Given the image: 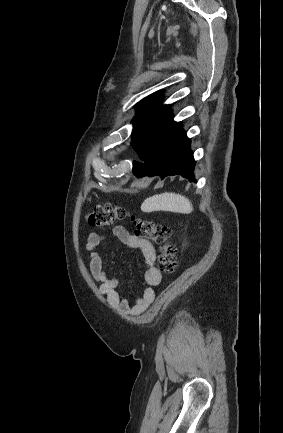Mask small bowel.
<instances>
[{"mask_svg":"<svg viewBox=\"0 0 283 433\" xmlns=\"http://www.w3.org/2000/svg\"><path fill=\"white\" fill-rule=\"evenodd\" d=\"M113 235L127 248L139 249L143 255L146 270L145 282L149 286L141 296L130 305L129 301L121 296L117 287L119 280L109 275L102 256L97 247L104 241V236L90 232L87 237L85 249L90 253V272L93 279L99 284V291L106 296L108 305L122 316H137L143 313L154 300V290L151 288L161 282V273L156 266V251L151 242L132 235L123 226H116Z\"/></svg>","mask_w":283,"mask_h":433,"instance_id":"c3829d8e","label":"small bowel"}]
</instances>
